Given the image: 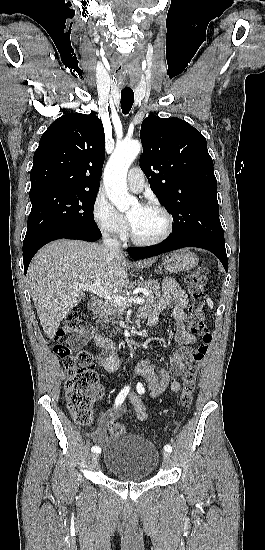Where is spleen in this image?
<instances>
[{
    "mask_svg": "<svg viewBox=\"0 0 265 550\" xmlns=\"http://www.w3.org/2000/svg\"><path fill=\"white\" fill-rule=\"evenodd\" d=\"M207 304H208V306H209L211 309H212L213 306H214V303H213V301H212L210 298H207Z\"/></svg>",
    "mask_w": 265,
    "mask_h": 550,
    "instance_id": "3e777b00",
    "label": "spleen"
}]
</instances>
